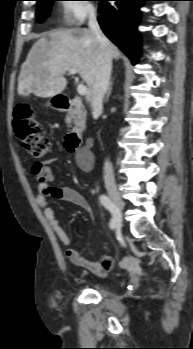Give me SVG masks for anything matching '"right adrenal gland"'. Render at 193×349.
Returning a JSON list of instances; mask_svg holds the SVG:
<instances>
[{
	"label": "right adrenal gland",
	"instance_id": "1",
	"mask_svg": "<svg viewBox=\"0 0 193 349\" xmlns=\"http://www.w3.org/2000/svg\"><path fill=\"white\" fill-rule=\"evenodd\" d=\"M112 85H113V82L112 80L110 81V84H109V87H108V90H107V94H106V98H105V101H108L110 95H111V90H112Z\"/></svg>",
	"mask_w": 193,
	"mask_h": 349
}]
</instances>
